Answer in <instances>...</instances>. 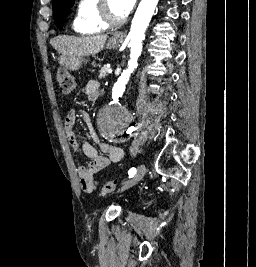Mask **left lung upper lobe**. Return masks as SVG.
I'll list each match as a JSON object with an SVG mask.
<instances>
[{"label": "left lung upper lobe", "instance_id": "5c2ea615", "mask_svg": "<svg viewBox=\"0 0 256 267\" xmlns=\"http://www.w3.org/2000/svg\"><path fill=\"white\" fill-rule=\"evenodd\" d=\"M74 2L75 0H52L54 21L58 27H61Z\"/></svg>", "mask_w": 256, "mask_h": 267}]
</instances>
